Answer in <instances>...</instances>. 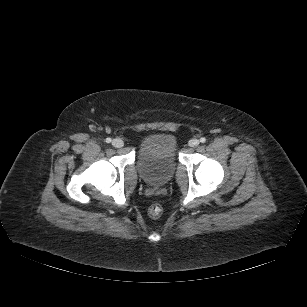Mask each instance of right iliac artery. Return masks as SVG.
<instances>
[{
  "label": "right iliac artery",
  "mask_w": 307,
  "mask_h": 307,
  "mask_svg": "<svg viewBox=\"0 0 307 307\" xmlns=\"http://www.w3.org/2000/svg\"><path fill=\"white\" fill-rule=\"evenodd\" d=\"M107 143H110L112 140H111V138H106V140H105Z\"/></svg>",
  "instance_id": "obj_1"
}]
</instances>
